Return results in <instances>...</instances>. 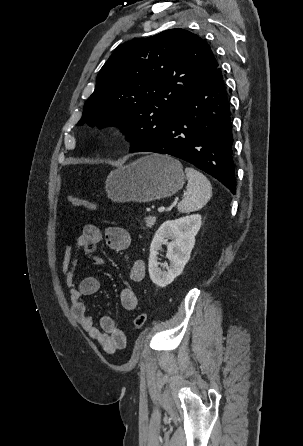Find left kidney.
I'll return each mask as SVG.
<instances>
[{
    "instance_id": "left-kidney-1",
    "label": "left kidney",
    "mask_w": 303,
    "mask_h": 446,
    "mask_svg": "<svg viewBox=\"0 0 303 446\" xmlns=\"http://www.w3.org/2000/svg\"><path fill=\"white\" fill-rule=\"evenodd\" d=\"M201 223V216L193 214L168 220L158 228L151 242L148 263L149 275L154 284L166 287L182 273L194 248L195 236ZM168 239H171V242H168ZM162 245L167 246L166 257L170 261L167 271L161 270L157 257Z\"/></svg>"
}]
</instances>
